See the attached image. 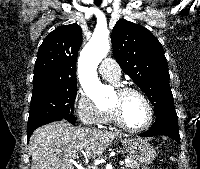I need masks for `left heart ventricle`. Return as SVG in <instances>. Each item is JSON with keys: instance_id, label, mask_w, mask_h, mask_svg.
I'll return each instance as SVG.
<instances>
[{"instance_id": "obj_1", "label": "left heart ventricle", "mask_w": 200, "mask_h": 169, "mask_svg": "<svg viewBox=\"0 0 200 169\" xmlns=\"http://www.w3.org/2000/svg\"><path fill=\"white\" fill-rule=\"evenodd\" d=\"M119 105L124 121L131 127L143 126L148 120V109L143 99L133 93L120 97L113 93L109 106Z\"/></svg>"}]
</instances>
